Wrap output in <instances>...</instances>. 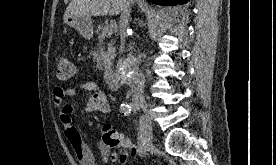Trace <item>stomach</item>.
I'll list each match as a JSON object with an SVG mask.
<instances>
[{"label":"stomach","instance_id":"1","mask_svg":"<svg viewBox=\"0 0 276 165\" xmlns=\"http://www.w3.org/2000/svg\"><path fill=\"white\" fill-rule=\"evenodd\" d=\"M65 23L76 29L84 38L90 39L93 35V24L91 17L88 16H74L65 20Z\"/></svg>","mask_w":276,"mask_h":165}]
</instances>
